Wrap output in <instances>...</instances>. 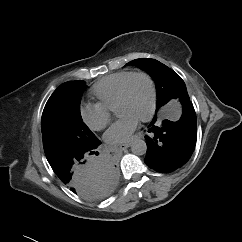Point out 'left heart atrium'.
Wrapping results in <instances>:
<instances>
[{
	"label": "left heart atrium",
	"mask_w": 242,
	"mask_h": 242,
	"mask_svg": "<svg viewBox=\"0 0 242 242\" xmlns=\"http://www.w3.org/2000/svg\"><path fill=\"white\" fill-rule=\"evenodd\" d=\"M139 119L125 114L121 116L105 133L104 138L110 144L128 142L138 126Z\"/></svg>",
	"instance_id": "left-heart-atrium-1"
}]
</instances>
